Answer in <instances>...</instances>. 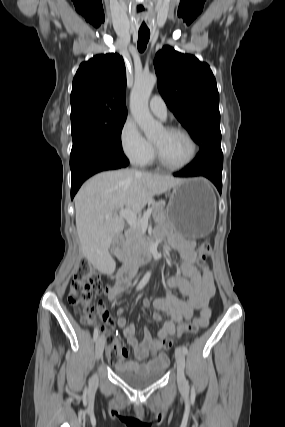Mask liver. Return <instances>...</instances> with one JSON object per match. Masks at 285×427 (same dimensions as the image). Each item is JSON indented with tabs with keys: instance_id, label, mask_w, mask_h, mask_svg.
Here are the masks:
<instances>
[{
	"instance_id": "6515ba94",
	"label": "liver",
	"mask_w": 285,
	"mask_h": 427,
	"mask_svg": "<svg viewBox=\"0 0 285 427\" xmlns=\"http://www.w3.org/2000/svg\"><path fill=\"white\" fill-rule=\"evenodd\" d=\"M181 181L133 169L102 172L89 179L75 197L76 228L86 259L98 269L110 264V245L124 229V220L117 212L129 208L138 213L154 195Z\"/></svg>"
}]
</instances>
